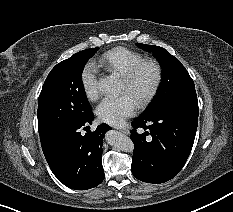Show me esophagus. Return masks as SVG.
Returning a JSON list of instances; mask_svg holds the SVG:
<instances>
[{
	"instance_id": "34e87169",
	"label": "esophagus",
	"mask_w": 233,
	"mask_h": 212,
	"mask_svg": "<svg viewBox=\"0 0 233 212\" xmlns=\"http://www.w3.org/2000/svg\"><path fill=\"white\" fill-rule=\"evenodd\" d=\"M118 129H119V131H121L124 134H128L129 133V131H128L127 128H118Z\"/></svg>"
}]
</instances>
